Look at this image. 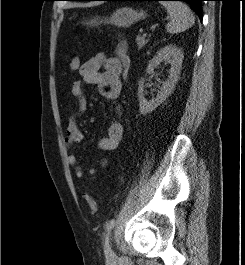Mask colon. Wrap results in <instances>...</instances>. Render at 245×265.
<instances>
[{"label": "colon", "mask_w": 245, "mask_h": 265, "mask_svg": "<svg viewBox=\"0 0 245 265\" xmlns=\"http://www.w3.org/2000/svg\"><path fill=\"white\" fill-rule=\"evenodd\" d=\"M115 57L119 61V64H120V66L122 68L121 75L123 77H125L127 72H128L129 66H130V58H129V55H128L127 44H126L125 41L122 40V41L119 42L117 50H116V56ZM67 62H68V66H69L71 71L78 70L79 65H80V59H79V56L77 54H75V53L69 54L67 56ZM84 196H85V199H86L87 204L89 206V209L93 213L97 212L98 211V206H97V203L94 200V198L88 193H85Z\"/></svg>", "instance_id": "colon-1"}]
</instances>
